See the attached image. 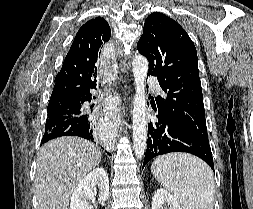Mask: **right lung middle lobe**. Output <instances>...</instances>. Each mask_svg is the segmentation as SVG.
<instances>
[{"label": "right lung middle lobe", "mask_w": 253, "mask_h": 209, "mask_svg": "<svg viewBox=\"0 0 253 209\" xmlns=\"http://www.w3.org/2000/svg\"><path fill=\"white\" fill-rule=\"evenodd\" d=\"M76 112L69 111L67 108L63 109H48V118L45 128L54 126L62 121L75 116Z\"/></svg>", "instance_id": "right-lung-middle-lobe-1"}]
</instances>
